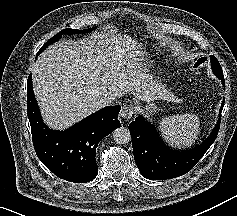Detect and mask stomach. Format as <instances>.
Returning a JSON list of instances; mask_svg holds the SVG:
<instances>
[{"label":"stomach","instance_id":"1","mask_svg":"<svg viewBox=\"0 0 237 216\" xmlns=\"http://www.w3.org/2000/svg\"><path fill=\"white\" fill-rule=\"evenodd\" d=\"M143 112L147 117H152L157 112V105L155 103L150 102L144 107Z\"/></svg>","mask_w":237,"mask_h":216}]
</instances>
